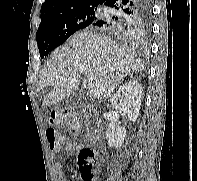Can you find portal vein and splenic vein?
Wrapping results in <instances>:
<instances>
[{"label": "portal vein and splenic vein", "instance_id": "18ae733b", "mask_svg": "<svg viewBox=\"0 0 197 181\" xmlns=\"http://www.w3.org/2000/svg\"><path fill=\"white\" fill-rule=\"evenodd\" d=\"M87 80L88 82H92L94 80V74L93 73L87 74Z\"/></svg>", "mask_w": 197, "mask_h": 181}]
</instances>
